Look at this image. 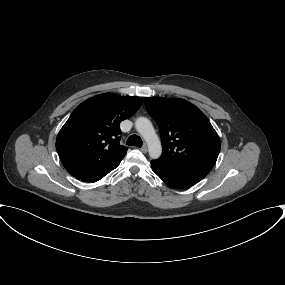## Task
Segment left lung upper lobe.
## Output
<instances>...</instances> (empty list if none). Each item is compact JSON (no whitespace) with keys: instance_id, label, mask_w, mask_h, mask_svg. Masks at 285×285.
<instances>
[{"instance_id":"5c2ea615","label":"left lung upper lobe","mask_w":285,"mask_h":285,"mask_svg":"<svg viewBox=\"0 0 285 285\" xmlns=\"http://www.w3.org/2000/svg\"><path fill=\"white\" fill-rule=\"evenodd\" d=\"M144 104L160 129L159 159L208 174L216 163L221 144L204 113L179 98L145 97Z\"/></svg>"}]
</instances>
